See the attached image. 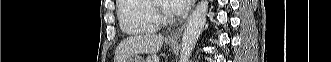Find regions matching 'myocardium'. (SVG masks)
I'll return each instance as SVG.
<instances>
[{"mask_svg":"<svg viewBox=\"0 0 331 62\" xmlns=\"http://www.w3.org/2000/svg\"><path fill=\"white\" fill-rule=\"evenodd\" d=\"M150 7L155 15V22L158 24H167L170 22L171 18L167 13L166 6L160 1L152 0L150 1Z\"/></svg>","mask_w":331,"mask_h":62,"instance_id":"1","label":"myocardium"}]
</instances>
